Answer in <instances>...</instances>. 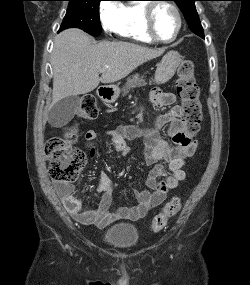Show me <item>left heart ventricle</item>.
<instances>
[{"mask_svg": "<svg viewBox=\"0 0 250 285\" xmlns=\"http://www.w3.org/2000/svg\"><path fill=\"white\" fill-rule=\"evenodd\" d=\"M178 27V21L173 10L165 5L156 9L154 28L157 35L163 39L173 37Z\"/></svg>", "mask_w": 250, "mask_h": 285, "instance_id": "1", "label": "left heart ventricle"}]
</instances>
